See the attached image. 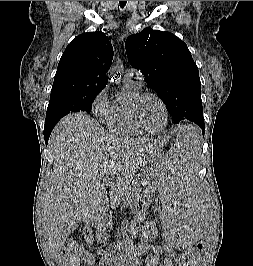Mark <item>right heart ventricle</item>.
<instances>
[{
	"label": "right heart ventricle",
	"mask_w": 253,
	"mask_h": 266,
	"mask_svg": "<svg viewBox=\"0 0 253 266\" xmlns=\"http://www.w3.org/2000/svg\"><path fill=\"white\" fill-rule=\"evenodd\" d=\"M142 91V85L125 81L123 91L112 103L107 126L111 132L120 136H138L141 133L134 127L130 116V102Z\"/></svg>",
	"instance_id": "1"
}]
</instances>
